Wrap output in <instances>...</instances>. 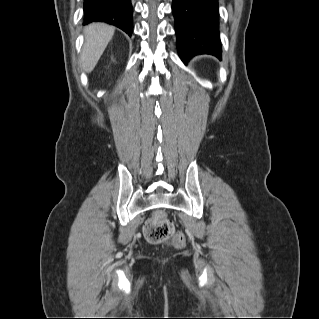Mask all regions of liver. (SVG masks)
<instances>
[{
  "label": "liver",
  "instance_id": "1",
  "mask_svg": "<svg viewBox=\"0 0 319 319\" xmlns=\"http://www.w3.org/2000/svg\"><path fill=\"white\" fill-rule=\"evenodd\" d=\"M114 31V27L104 23H93L84 29L85 43L81 54V64L84 71L89 73L94 69L112 39Z\"/></svg>",
  "mask_w": 319,
  "mask_h": 319
}]
</instances>
